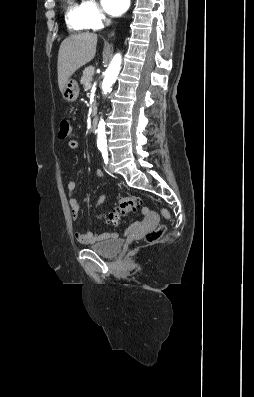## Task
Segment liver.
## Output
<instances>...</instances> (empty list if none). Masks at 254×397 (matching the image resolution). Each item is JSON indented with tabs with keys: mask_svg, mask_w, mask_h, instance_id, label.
Returning a JSON list of instances; mask_svg holds the SVG:
<instances>
[{
	"mask_svg": "<svg viewBox=\"0 0 254 397\" xmlns=\"http://www.w3.org/2000/svg\"><path fill=\"white\" fill-rule=\"evenodd\" d=\"M97 34L82 33L64 39L58 52V85L62 92L68 79L96 54Z\"/></svg>",
	"mask_w": 254,
	"mask_h": 397,
	"instance_id": "1",
	"label": "liver"
}]
</instances>
